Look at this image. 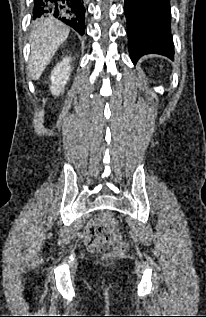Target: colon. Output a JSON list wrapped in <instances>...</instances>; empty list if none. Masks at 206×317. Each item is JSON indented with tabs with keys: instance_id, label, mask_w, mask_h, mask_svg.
I'll return each mask as SVG.
<instances>
[{
	"instance_id": "5ec220e1",
	"label": "colon",
	"mask_w": 206,
	"mask_h": 317,
	"mask_svg": "<svg viewBox=\"0 0 206 317\" xmlns=\"http://www.w3.org/2000/svg\"><path fill=\"white\" fill-rule=\"evenodd\" d=\"M98 220L105 224H110L113 221V216L111 213L105 212L100 215ZM86 243L91 251L100 254L120 256L128 251V244L125 241H116L111 232L98 226L88 237Z\"/></svg>"
}]
</instances>
